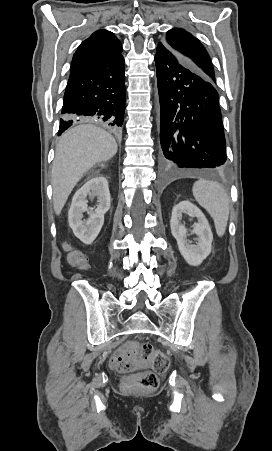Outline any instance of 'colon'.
Here are the masks:
<instances>
[{
    "mask_svg": "<svg viewBox=\"0 0 272 451\" xmlns=\"http://www.w3.org/2000/svg\"><path fill=\"white\" fill-rule=\"evenodd\" d=\"M69 249V247H66ZM69 260H74L73 269L84 271L86 264L83 262L82 251L71 247L68 254ZM156 350V349H155ZM114 367L121 374H127L125 383L130 386H139L147 390H155L159 386L157 373H163L168 366V359L163 353H155L152 342H142L133 351L118 352L114 358ZM138 365H152L153 371L137 372Z\"/></svg>",
    "mask_w": 272,
    "mask_h": 451,
    "instance_id": "colon-1",
    "label": "colon"
}]
</instances>
